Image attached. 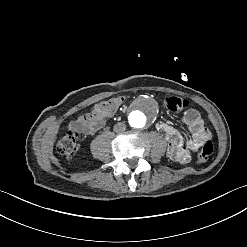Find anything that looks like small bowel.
<instances>
[{
	"mask_svg": "<svg viewBox=\"0 0 247 247\" xmlns=\"http://www.w3.org/2000/svg\"><path fill=\"white\" fill-rule=\"evenodd\" d=\"M92 116L93 118L90 121H86L85 116H79L69 123L68 128L79 134L92 135L105 125L107 117L96 114V109L93 111ZM182 122L191 133V136L187 139H184L164 121H159L156 124V128L166 137L168 157L181 164H186L192 159L193 152L197 151L202 145L208 129L205 127L199 112L195 109L187 110Z\"/></svg>",
	"mask_w": 247,
	"mask_h": 247,
	"instance_id": "c3829d8e",
	"label": "small bowel"
}]
</instances>
